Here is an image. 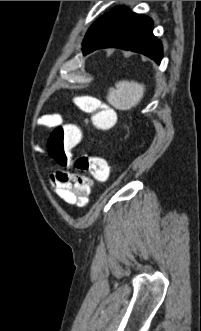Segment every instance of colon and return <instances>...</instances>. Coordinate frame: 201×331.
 Listing matches in <instances>:
<instances>
[{
    "label": "colon",
    "instance_id": "obj_1",
    "mask_svg": "<svg viewBox=\"0 0 201 331\" xmlns=\"http://www.w3.org/2000/svg\"><path fill=\"white\" fill-rule=\"evenodd\" d=\"M77 106L91 117L93 127L98 131H106L114 127L117 121L116 112L108 105L91 96H82L76 100ZM82 139L81 131L74 125L61 124L54 128L48 140L50 156L63 168L73 167L87 172L98 183H106L110 169L105 159L80 155L71 160L67 150L77 145Z\"/></svg>",
    "mask_w": 201,
    "mask_h": 331
}]
</instances>
